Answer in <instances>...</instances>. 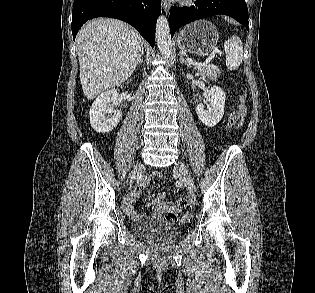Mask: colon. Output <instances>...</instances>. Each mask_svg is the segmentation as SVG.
I'll return each instance as SVG.
<instances>
[{"label":"colon","mask_w":315,"mask_h":293,"mask_svg":"<svg viewBox=\"0 0 315 293\" xmlns=\"http://www.w3.org/2000/svg\"><path fill=\"white\" fill-rule=\"evenodd\" d=\"M250 107L246 105V93L243 92L238 105V116L240 118L237 119L236 125L237 127H246L247 119L250 116ZM187 200L185 198H178L176 200V205L178 208L183 209L187 206Z\"/></svg>","instance_id":"colon-1"}]
</instances>
